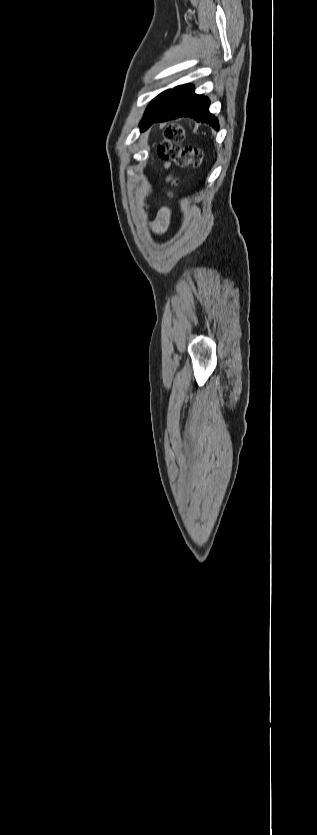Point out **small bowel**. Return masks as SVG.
<instances>
[{
    "label": "small bowel",
    "mask_w": 317,
    "mask_h": 835,
    "mask_svg": "<svg viewBox=\"0 0 317 835\" xmlns=\"http://www.w3.org/2000/svg\"><path fill=\"white\" fill-rule=\"evenodd\" d=\"M169 166H170L169 163H165L166 168H168ZM169 223H170L169 211L167 209H163L159 212V214H158V216L155 220L154 229L157 233L162 234L167 230V228L169 226Z\"/></svg>",
    "instance_id": "c3829d8e"
}]
</instances>
